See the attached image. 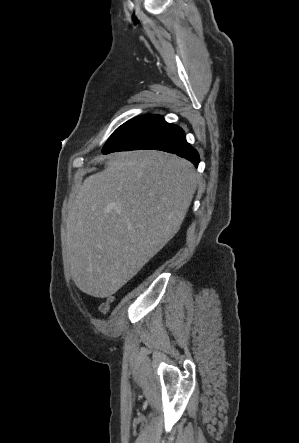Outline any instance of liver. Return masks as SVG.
I'll return each instance as SVG.
<instances>
[{"label":"liver","instance_id":"6515ba94","mask_svg":"<svg viewBox=\"0 0 299 443\" xmlns=\"http://www.w3.org/2000/svg\"><path fill=\"white\" fill-rule=\"evenodd\" d=\"M197 188L188 160L161 151L115 154L71 205L66 251L75 285L106 298L179 231Z\"/></svg>","mask_w":299,"mask_h":443}]
</instances>
